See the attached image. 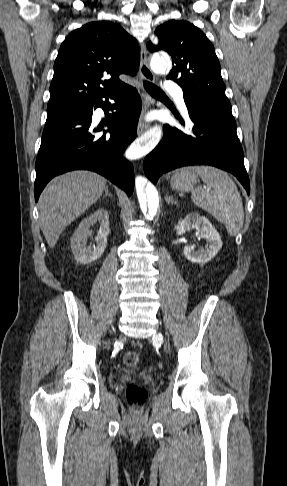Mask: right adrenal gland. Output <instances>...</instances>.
<instances>
[{"label": "right adrenal gland", "instance_id": "2a0ac1e0", "mask_svg": "<svg viewBox=\"0 0 287 486\" xmlns=\"http://www.w3.org/2000/svg\"><path fill=\"white\" fill-rule=\"evenodd\" d=\"M107 196H110L111 198H113V195L109 192L108 187H105V195L103 196V198H105Z\"/></svg>", "mask_w": 287, "mask_h": 486}]
</instances>
